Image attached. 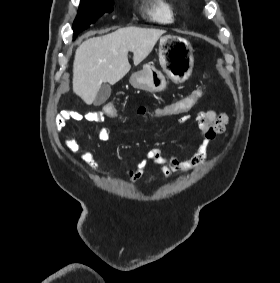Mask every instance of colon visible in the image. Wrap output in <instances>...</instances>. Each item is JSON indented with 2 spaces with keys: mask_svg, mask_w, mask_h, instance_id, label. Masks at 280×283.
Returning <instances> with one entry per match:
<instances>
[{
  "mask_svg": "<svg viewBox=\"0 0 280 283\" xmlns=\"http://www.w3.org/2000/svg\"><path fill=\"white\" fill-rule=\"evenodd\" d=\"M203 92L205 87H196V90H190L188 94H183V97L174 99L173 103H166L159 105L153 114H142V122L146 123L147 119H156L157 122H162L163 119H173L174 116H181L182 112H194L195 105H199L202 102ZM117 105L121 103H104L103 104V116H110L111 119H120L123 116L124 109L117 108ZM77 111H68L61 113L59 119H68L69 114ZM160 116V117H158ZM128 119H137V114H128Z\"/></svg>",
  "mask_w": 280,
  "mask_h": 283,
  "instance_id": "obj_1",
  "label": "colon"
}]
</instances>
